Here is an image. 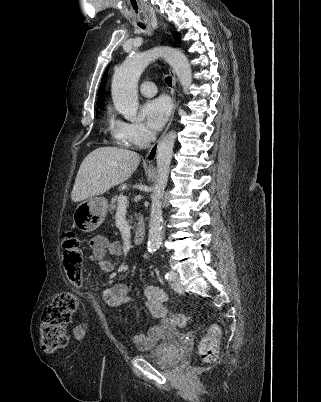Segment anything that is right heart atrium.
Returning <instances> with one entry per match:
<instances>
[{"instance_id": "1", "label": "right heart atrium", "mask_w": 321, "mask_h": 402, "mask_svg": "<svg viewBox=\"0 0 321 402\" xmlns=\"http://www.w3.org/2000/svg\"><path fill=\"white\" fill-rule=\"evenodd\" d=\"M122 137L127 145L142 148L152 139V134L141 123L124 122Z\"/></svg>"}]
</instances>
